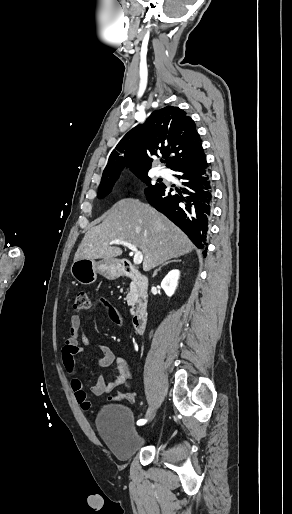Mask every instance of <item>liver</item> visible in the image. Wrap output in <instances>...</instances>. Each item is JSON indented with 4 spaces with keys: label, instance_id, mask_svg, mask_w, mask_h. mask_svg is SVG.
<instances>
[{
    "label": "liver",
    "instance_id": "liver-1",
    "mask_svg": "<svg viewBox=\"0 0 292 514\" xmlns=\"http://www.w3.org/2000/svg\"><path fill=\"white\" fill-rule=\"evenodd\" d=\"M113 240L130 242L142 250L144 272L193 250L187 236L168 218L149 204L127 198L112 206L102 224L86 232L74 262L82 258L98 260L121 256V248L110 244Z\"/></svg>",
    "mask_w": 292,
    "mask_h": 514
}]
</instances>
